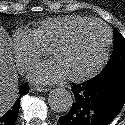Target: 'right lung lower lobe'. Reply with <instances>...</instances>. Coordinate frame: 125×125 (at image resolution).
I'll return each instance as SVG.
<instances>
[{
  "label": "right lung lower lobe",
  "mask_w": 125,
  "mask_h": 125,
  "mask_svg": "<svg viewBox=\"0 0 125 125\" xmlns=\"http://www.w3.org/2000/svg\"><path fill=\"white\" fill-rule=\"evenodd\" d=\"M28 92L27 83L20 85L18 92L20 97ZM19 105L20 102L17 100L5 114L0 115V125H15L18 117Z\"/></svg>",
  "instance_id": "1"
}]
</instances>
